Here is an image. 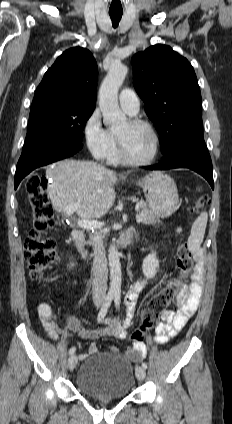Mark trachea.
I'll use <instances>...</instances> for the list:
<instances>
[{"label": "trachea", "mask_w": 232, "mask_h": 424, "mask_svg": "<svg viewBox=\"0 0 232 424\" xmlns=\"http://www.w3.org/2000/svg\"><path fill=\"white\" fill-rule=\"evenodd\" d=\"M122 14H123L122 12H109V15H110L111 20H112L113 27L118 26L119 21L122 17Z\"/></svg>", "instance_id": "obj_1"}]
</instances>
